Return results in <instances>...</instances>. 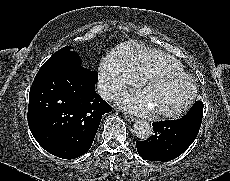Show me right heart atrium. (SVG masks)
Here are the masks:
<instances>
[{
	"instance_id": "right-heart-atrium-1",
	"label": "right heart atrium",
	"mask_w": 230,
	"mask_h": 181,
	"mask_svg": "<svg viewBox=\"0 0 230 181\" xmlns=\"http://www.w3.org/2000/svg\"><path fill=\"white\" fill-rule=\"evenodd\" d=\"M136 82L135 75L128 69L114 66L106 57L99 66V87L108 98H113Z\"/></svg>"
}]
</instances>
